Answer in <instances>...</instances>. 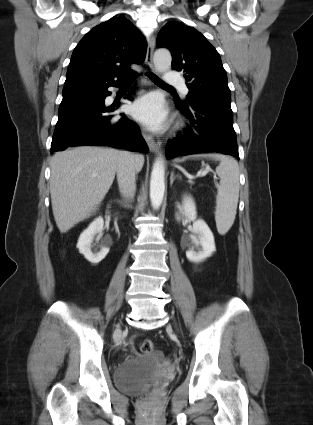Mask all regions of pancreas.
<instances>
[{
	"mask_svg": "<svg viewBox=\"0 0 313 425\" xmlns=\"http://www.w3.org/2000/svg\"><path fill=\"white\" fill-rule=\"evenodd\" d=\"M188 182H189L190 184H194V182H193V181H191V180H189Z\"/></svg>",
	"mask_w": 313,
	"mask_h": 425,
	"instance_id": "1",
	"label": "pancreas"
}]
</instances>
